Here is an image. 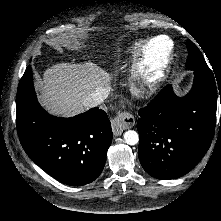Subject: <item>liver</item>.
I'll list each match as a JSON object with an SVG mask.
<instances>
[{"mask_svg":"<svg viewBox=\"0 0 221 221\" xmlns=\"http://www.w3.org/2000/svg\"><path fill=\"white\" fill-rule=\"evenodd\" d=\"M110 74L97 64L58 63L43 74L40 103L52 114L74 116L97 87L109 88Z\"/></svg>","mask_w":221,"mask_h":221,"instance_id":"1","label":"liver"}]
</instances>
